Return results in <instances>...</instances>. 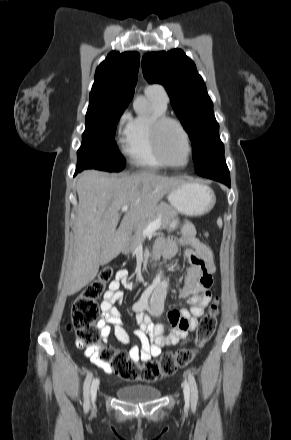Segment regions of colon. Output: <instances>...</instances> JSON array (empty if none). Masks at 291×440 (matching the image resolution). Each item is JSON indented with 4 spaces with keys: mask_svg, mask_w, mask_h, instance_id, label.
Here are the masks:
<instances>
[{
    "mask_svg": "<svg viewBox=\"0 0 291 440\" xmlns=\"http://www.w3.org/2000/svg\"><path fill=\"white\" fill-rule=\"evenodd\" d=\"M112 276V267L104 266L99 271L98 277L87 285L75 299L71 308L69 329L75 332L78 341L86 348L96 352L100 361L108 363L114 374L127 381L153 383L189 365L196 356L197 348H201L216 330L218 298L213 299L207 312L199 321V328L194 339L195 349H179L175 352L163 354L159 361H148L138 364L115 347L104 344L100 338L101 331L95 325L99 315L97 300L104 293L106 284L111 281ZM169 321L172 325L178 323V319L175 316H170ZM190 322L187 319L181 321L183 325H188Z\"/></svg>",
    "mask_w": 291,
    "mask_h": 440,
    "instance_id": "5ec220e1",
    "label": "colon"
}]
</instances>
